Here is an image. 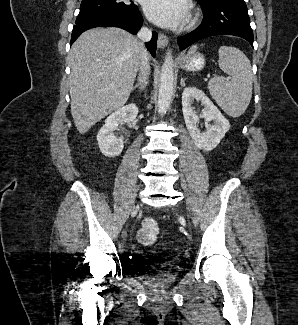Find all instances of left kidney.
I'll return each instance as SVG.
<instances>
[{
  "label": "left kidney",
  "instance_id": "left-kidney-1",
  "mask_svg": "<svg viewBox=\"0 0 298 325\" xmlns=\"http://www.w3.org/2000/svg\"><path fill=\"white\" fill-rule=\"evenodd\" d=\"M194 100H200L202 106H204L201 116L206 120H213V124H209V130H205V132H201L197 126L198 114H196V110L192 106ZM182 112L192 140L202 150L216 148L221 138L225 136V132L230 128L229 120L223 116L209 96L196 86H186L184 88L182 92Z\"/></svg>",
  "mask_w": 298,
  "mask_h": 325
}]
</instances>
